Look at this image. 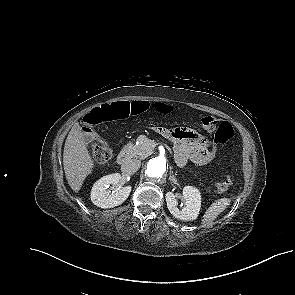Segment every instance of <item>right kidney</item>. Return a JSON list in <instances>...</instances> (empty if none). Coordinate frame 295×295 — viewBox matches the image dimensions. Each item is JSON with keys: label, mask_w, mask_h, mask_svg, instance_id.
<instances>
[{"label": "right kidney", "mask_w": 295, "mask_h": 295, "mask_svg": "<svg viewBox=\"0 0 295 295\" xmlns=\"http://www.w3.org/2000/svg\"><path fill=\"white\" fill-rule=\"evenodd\" d=\"M121 180L119 173H113L99 179L92 187L91 201L100 208H112L121 205L129 196L132 187H120L118 190H108L110 185H118Z\"/></svg>", "instance_id": "1"}]
</instances>
